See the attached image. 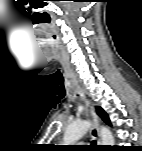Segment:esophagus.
Returning a JSON list of instances; mask_svg holds the SVG:
<instances>
[{
    "instance_id": "esophagus-1",
    "label": "esophagus",
    "mask_w": 142,
    "mask_h": 151,
    "mask_svg": "<svg viewBox=\"0 0 142 151\" xmlns=\"http://www.w3.org/2000/svg\"><path fill=\"white\" fill-rule=\"evenodd\" d=\"M91 115H92V119L94 122V125H93L92 130H91V134L94 138H96L98 140V143H100L101 142L100 131H99L100 120L93 109L91 110Z\"/></svg>"
}]
</instances>
